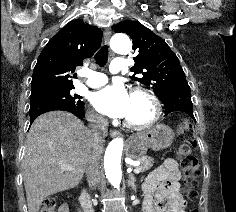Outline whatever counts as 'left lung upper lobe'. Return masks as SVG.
Instances as JSON below:
<instances>
[{
    "label": "left lung upper lobe",
    "instance_id": "left-lung-upper-lobe-1",
    "mask_svg": "<svg viewBox=\"0 0 236 212\" xmlns=\"http://www.w3.org/2000/svg\"><path fill=\"white\" fill-rule=\"evenodd\" d=\"M115 33H126L133 41L135 65L131 68L142 77L131 76L163 100L169 91L188 85L176 54L166 42L136 21H123L115 26Z\"/></svg>",
    "mask_w": 236,
    "mask_h": 212
}]
</instances>
